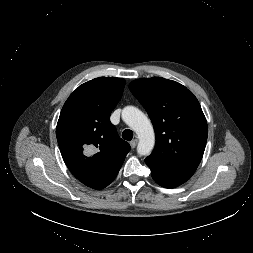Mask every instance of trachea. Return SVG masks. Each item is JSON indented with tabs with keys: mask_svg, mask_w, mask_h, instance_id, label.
Returning <instances> with one entry per match:
<instances>
[{
	"mask_svg": "<svg viewBox=\"0 0 253 253\" xmlns=\"http://www.w3.org/2000/svg\"><path fill=\"white\" fill-rule=\"evenodd\" d=\"M122 138L130 141L133 138V132L130 129H125L122 133Z\"/></svg>",
	"mask_w": 253,
	"mask_h": 253,
	"instance_id": "1",
	"label": "trachea"
}]
</instances>
